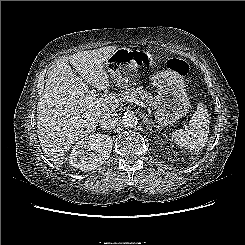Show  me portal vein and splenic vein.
Wrapping results in <instances>:
<instances>
[{
  "instance_id": "18ae733b",
  "label": "portal vein and splenic vein",
  "mask_w": 245,
  "mask_h": 245,
  "mask_svg": "<svg viewBox=\"0 0 245 245\" xmlns=\"http://www.w3.org/2000/svg\"><path fill=\"white\" fill-rule=\"evenodd\" d=\"M90 93H91L90 99H91V100H94V99L96 98V90L92 89V90L90 91ZM128 101H129V102H134V103H136L137 105H140V106H142V107L144 106V103H143V102H141L140 100L135 99V98H128Z\"/></svg>"
}]
</instances>
